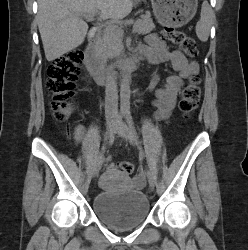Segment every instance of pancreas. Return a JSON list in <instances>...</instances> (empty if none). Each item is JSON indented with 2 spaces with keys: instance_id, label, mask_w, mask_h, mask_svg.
Returning a JSON list of instances; mask_svg holds the SVG:
<instances>
[{
  "instance_id": "1",
  "label": "pancreas",
  "mask_w": 248,
  "mask_h": 250,
  "mask_svg": "<svg viewBox=\"0 0 248 250\" xmlns=\"http://www.w3.org/2000/svg\"><path fill=\"white\" fill-rule=\"evenodd\" d=\"M154 28L155 25L149 12L142 15L141 18L136 21L134 26L135 31L142 35L150 33ZM122 38L123 30L120 27L105 29L99 43L101 57L105 60L118 57L123 49Z\"/></svg>"
}]
</instances>
